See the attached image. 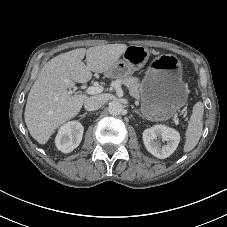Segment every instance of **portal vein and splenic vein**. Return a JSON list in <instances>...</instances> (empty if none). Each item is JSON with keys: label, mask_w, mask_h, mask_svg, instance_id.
<instances>
[{"label": "portal vein and splenic vein", "mask_w": 227, "mask_h": 227, "mask_svg": "<svg viewBox=\"0 0 227 227\" xmlns=\"http://www.w3.org/2000/svg\"><path fill=\"white\" fill-rule=\"evenodd\" d=\"M103 89L104 88L101 85H92L86 89V93L90 95H94V94L101 93ZM173 122L176 126L179 125V119L177 117H174Z\"/></svg>", "instance_id": "portal-vein-and-splenic-vein-1"}]
</instances>
